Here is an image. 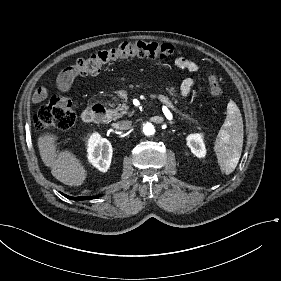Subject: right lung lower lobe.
I'll use <instances>...</instances> for the list:
<instances>
[{"label": "right lung lower lobe", "instance_id": "obj_1", "mask_svg": "<svg viewBox=\"0 0 281 281\" xmlns=\"http://www.w3.org/2000/svg\"><path fill=\"white\" fill-rule=\"evenodd\" d=\"M61 194L64 195L65 197L69 198V199H72V200H87V199H94V198L98 197V196H93V197H90V196H88V197L87 196H85V197H71V196L65 195L63 193H61Z\"/></svg>", "mask_w": 281, "mask_h": 281}]
</instances>
